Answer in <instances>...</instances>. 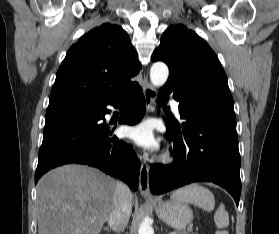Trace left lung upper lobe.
Returning a JSON list of instances; mask_svg holds the SVG:
<instances>
[{
    "instance_id": "5c2ea615",
    "label": "left lung upper lobe",
    "mask_w": 279,
    "mask_h": 234,
    "mask_svg": "<svg viewBox=\"0 0 279 234\" xmlns=\"http://www.w3.org/2000/svg\"><path fill=\"white\" fill-rule=\"evenodd\" d=\"M169 67L168 81L190 94L233 104L226 74L209 45L182 24L170 26L152 55Z\"/></svg>"
}]
</instances>
